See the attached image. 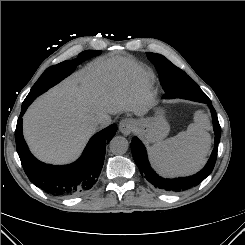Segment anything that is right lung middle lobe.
Wrapping results in <instances>:
<instances>
[{"label":"right lung middle lobe","mask_w":245,"mask_h":245,"mask_svg":"<svg viewBox=\"0 0 245 245\" xmlns=\"http://www.w3.org/2000/svg\"><path fill=\"white\" fill-rule=\"evenodd\" d=\"M100 53L101 51L86 50L81 52L76 59L64 61L47 68L33 85L30 93L24 101H29L31 103L37 96L41 95L50 87L54 86L62 79L70 75L78 64L85 61L87 58L96 56Z\"/></svg>","instance_id":"1"}]
</instances>
